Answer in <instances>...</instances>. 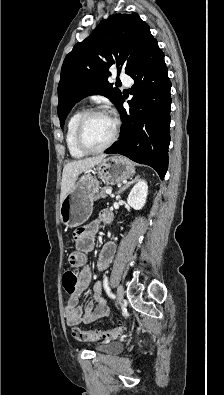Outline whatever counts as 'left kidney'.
Returning <instances> with one entry per match:
<instances>
[{"label": "left kidney", "instance_id": "5707ae66", "mask_svg": "<svg viewBox=\"0 0 224 395\" xmlns=\"http://www.w3.org/2000/svg\"><path fill=\"white\" fill-rule=\"evenodd\" d=\"M148 194V186L145 180L138 179L137 183L131 189L127 203L135 210H140L144 207Z\"/></svg>", "mask_w": 224, "mask_h": 395}]
</instances>
